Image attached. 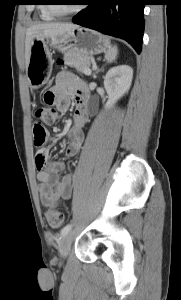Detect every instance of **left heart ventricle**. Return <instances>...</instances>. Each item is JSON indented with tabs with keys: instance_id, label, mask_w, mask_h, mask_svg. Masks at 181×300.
I'll return each mask as SVG.
<instances>
[{
	"instance_id": "b2bd125f",
	"label": "left heart ventricle",
	"mask_w": 181,
	"mask_h": 300,
	"mask_svg": "<svg viewBox=\"0 0 181 300\" xmlns=\"http://www.w3.org/2000/svg\"><path fill=\"white\" fill-rule=\"evenodd\" d=\"M59 2H70V1H59ZM57 8L61 11H69L71 9H73V5H69V4H59V5H56Z\"/></svg>"
}]
</instances>
